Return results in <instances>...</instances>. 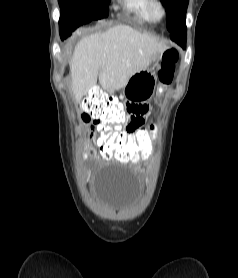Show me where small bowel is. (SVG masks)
<instances>
[{
    "instance_id": "c3829d8e",
    "label": "small bowel",
    "mask_w": 238,
    "mask_h": 278,
    "mask_svg": "<svg viewBox=\"0 0 238 278\" xmlns=\"http://www.w3.org/2000/svg\"><path fill=\"white\" fill-rule=\"evenodd\" d=\"M148 112V108L145 104L137 103L132 104L130 106L129 111V118L128 121L122 131H128V136H121V137H134L135 130H145L143 128L144 122H145V116ZM149 137V135H147ZM91 138H93V134L91 135ZM95 139V144H96ZM148 146V145H147ZM98 147V146H97ZM98 151H91L92 156L98 155Z\"/></svg>"
}]
</instances>
